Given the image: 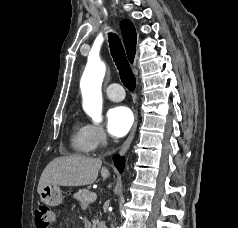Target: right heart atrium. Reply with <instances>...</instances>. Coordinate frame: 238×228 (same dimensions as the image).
<instances>
[{
    "mask_svg": "<svg viewBox=\"0 0 238 228\" xmlns=\"http://www.w3.org/2000/svg\"><path fill=\"white\" fill-rule=\"evenodd\" d=\"M86 132L93 149L103 148L107 146L108 136L102 125L97 123L87 124Z\"/></svg>",
    "mask_w": 238,
    "mask_h": 228,
    "instance_id": "1",
    "label": "right heart atrium"
}]
</instances>
